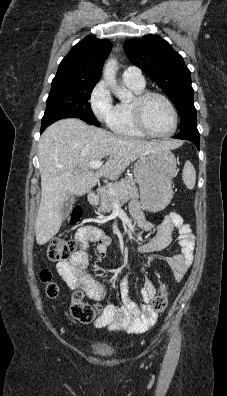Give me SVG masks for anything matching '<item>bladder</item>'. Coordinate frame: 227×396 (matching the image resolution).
I'll return each mask as SVG.
<instances>
[{"mask_svg": "<svg viewBox=\"0 0 227 396\" xmlns=\"http://www.w3.org/2000/svg\"><path fill=\"white\" fill-rule=\"evenodd\" d=\"M89 351L91 354L102 357V358H109L114 355L113 349L109 346L101 343H94L89 346Z\"/></svg>", "mask_w": 227, "mask_h": 396, "instance_id": "31cf9c89", "label": "bladder"}]
</instances>
